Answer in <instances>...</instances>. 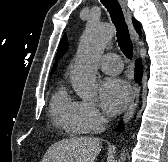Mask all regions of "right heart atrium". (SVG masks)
I'll list each match as a JSON object with an SVG mask.
<instances>
[{
    "label": "right heart atrium",
    "instance_id": "1",
    "mask_svg": "<svg viewBox=\"0 0 168 162\" xmlns=\"http://www.w3.org/2000/svg\"><path fill=\"white\" fill-rule=\"evenodd\" d=\"M78 118L91 132L101 130L105 122L98 107L95 104L86 101L79 102L78 104Z\"/></svg>",
    "mask_w": 168,
    "mask_h": 162
}]
</instances>
